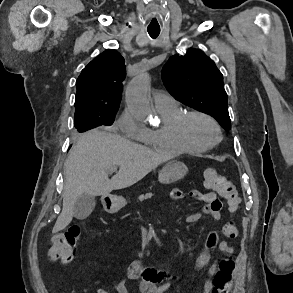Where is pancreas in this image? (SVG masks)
Segmentation results:
<instances>
[{
  "label": "pancreas",
  "mask_w": 293,
  "mask_h": 293,
  "mask_svg": "<svg viewBox=\"0 0 293 293\" xmlns=\"http://www.w3.org/2000/svg\"><path fill=\"white\" fill-rule=\"evenodd\" d=\"M152 196H153L152 193H146L145 195L142 194L138 197V200L139 201L147 200V199L152 198Z\"/></svg>",
  "instance_id": "cf45deb5"
}]
</instances>
